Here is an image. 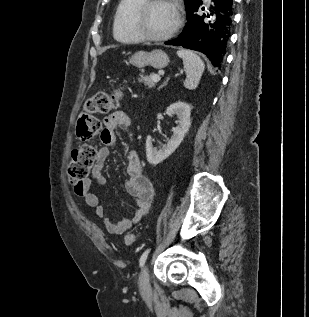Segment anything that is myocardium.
<instances>
[{
    "mask_svg": "<svg viewBox=\"0 0 309 317\" xmlns=\"http://www.w3.org/2000/svg\"><path fill=\"white\" fill-rule=\"evenodd\" d=\"M158 3H169L174 7L176 12V22L172 29L169 30L167 33L156 36L151 35L144 30L143 21L148 11ZM182 24L183 13L178 0H144V2L140 4L134 11L131 20V26L133 31L141 40L148 42H164L171 39L182 27Z\"/></svg>",
    "mask_w": 309,
    "mask_h": 317,
    "instance_id": "myocardium-1",
    "label": "myocardium"
}]
</instances>
